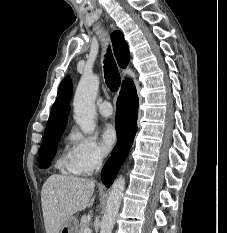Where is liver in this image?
Instances as JSON below:
<instances>
[{"mask_svg": "<svg viewBox=\"0 0 227 233\" xmlns=\"http://www.w3.org/2000/svg\"><path fill=\"white\" fill-rule=\"evenodd\" d=\"M95 182L88 178L53 174L44 182L41 203L46 233H59L76 212L93 205Z\"/></svg>", "mask_w": 227, "mask_h": 233, "instance_id": "liver-1", "label": "liver"}]
</instances>
